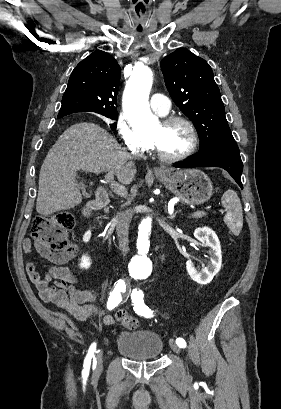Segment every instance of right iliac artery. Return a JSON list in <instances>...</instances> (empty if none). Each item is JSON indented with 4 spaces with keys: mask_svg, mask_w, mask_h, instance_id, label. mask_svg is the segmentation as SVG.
<instances>
[{
    "mask_svg": "<svg viewBox=\"0 0 281 409\" xmlns=\"http://www.w3.org/2000/svg\"><path fill=\"white\" fill-rule=\"evenodd\" d=\"M129 295H130L129 286L126 285L123 279L118 280L114 284L113 290L110 292V296H109L108 303H107V308L109 310H112L118 304L126 302ZM95 347H96L95 343L91 345L88 351V354L85 358V361H84V369L82 373H83V377L85 378L88 376V373H89L90 363H91L92 357L94 356ZM95 366H96V362L94 361V367Z\"/></svg>",
    "mask_w": 281,
    "mask_h": 409,
    "instance_id": "1",
    "label": "right iliac artery"
}]
</instances>
